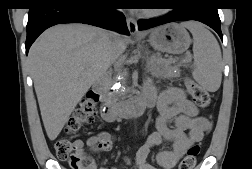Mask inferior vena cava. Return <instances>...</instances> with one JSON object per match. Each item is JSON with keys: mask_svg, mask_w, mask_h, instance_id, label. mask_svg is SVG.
Instances as JSON below:
<instances>
[{"mask_svg": "<svg viewBox=\"0 0 252 169\" xmlns=\"http://www.w3.org/2000/svg\"><path fill=\"white\" fill-rule=\"evenodd\" d=\"M109 44L112 63L115 65L117 64L120 55V50L122 48L120 36L117 33H111Z\"/></svg>", "mask_w": 252, "mask_h": 169, "instance_id": "inferior-vena-cava-1", "label": "inferior vena cava"}]
</instances>
